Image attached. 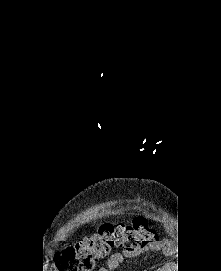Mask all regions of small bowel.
Masks as SVG:
<instances>
[{
    "mask_svg": "<svg viewBox=\"0 0 221 271\" xmlns=\"http://www.w3.org/2000/svg\"><path fill=\"white\" fill-rule=\"evenodd\" d=\"M166 243L159 240H154L145 247L138 250H124L122 252L113 253L107 260L104 267L98 269V271H116L119 265L126 258L136 257L147 253H157L161 251H166ZM158 271H164V269H158Z\"/></svg>",
    "mask_w": 221,
    "mask_h": 271,
    "instance_id": "c3829d8e",
    "label": "small bowel"
}]
</instances>
